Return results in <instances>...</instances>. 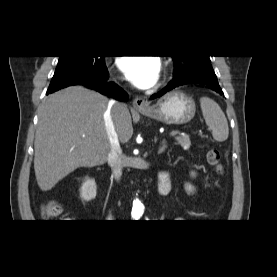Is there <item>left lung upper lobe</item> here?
Segmentation results:
<instances>
[{
  "label": "left lung upper lobe",
  "mask_w": 277,
  "mask_h": 277,
  "mask_svg": "<svg viewBox=\"0 0 277 277\" xmlns=\"http://www.w3.org/2000/svg\"><path fill=\"white\" fill-rule=\"evenodd\" d=\"M175 77L214 73L209 56H172Z\"/></svg>",
  "instance_id": "obj_1"
}]
</instances>
